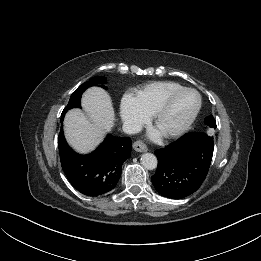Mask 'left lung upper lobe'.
<instances>
[{
  "label": "left lung upper lobe",
  "instance_id": "1",
  "mask_svg": "<svg viewBox=\"0 0 261 261\" xmlns=\"http://www.w3.org/2000/svg\"><path fill=\"white\" fill-rule=\"evenodd\" d=\"M204 122H205V124L208 125L209 127L213 128V129L216 128V121H215V119L213 118V116L207 117Z\"/></svg>",
  "mask_w": 261,
  "mask_h": 261
}]
</instances>
